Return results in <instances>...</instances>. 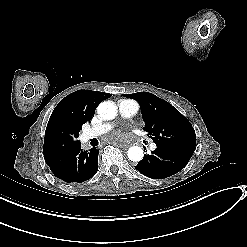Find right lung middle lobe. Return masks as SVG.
I'll return each instance as SVG.
<instances>
[{"label":"right lung middle lobe","mask_w":247,"mask_h":247,"mask_svg":"<svg viewBox=\"0 0 247 247\" xmlns=\"http://www.w3.org/2000/svg\"><path fill=\"white\" fill-rule=\"evenodd\" d=\"M77 137L78 136H76L75 138H69L56 142L54 145L51 146V148H49L48 151L44 152V156L60 153L67 150L69 147L79 142L76 140Z\"/></svg>","instance_id":"1"}]
</instances>
